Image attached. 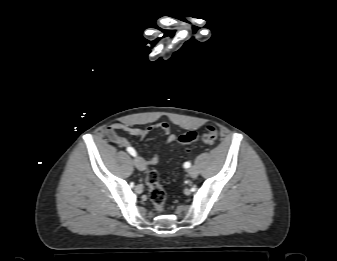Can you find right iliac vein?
<instances>
[{"instance_id":"63e3f726","label":"right iliac vein","mask_w":337,"mask_h":261,"mask_svg":"<svg viewBox=\"0 0 337 261\" xmlns=\"http://www.w3.org/2000/svg\"><path fill=\"white\" fill-rule=\"evenodd\" d=\"M134 164H135L136 168L140 171H144L146 169V164L141 157H136L134 159Z\"/></svg>"}]
</instances>
